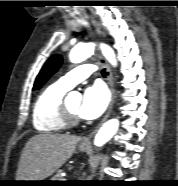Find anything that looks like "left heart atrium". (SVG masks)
Returning a JSON list of instances; mask_svg holds the SVG:
<instances>
[{
  "instance_id": "obj_1",
  "label": "left heart atrium",
  "mask_w": 178,
  "mask_h": 186,
  "mask_svg": "<svg viewBox=\"0 0 178 186\" xmlns=\"http://www.w3.org/2000/svg\"><path fill=\"white\" fill-rule=\"evenodd\" d=\"M108 101L106 88L101 83H95L85 89L78 114L84 119H96L105 111Z\"/></svg>"
}]
</instances>
